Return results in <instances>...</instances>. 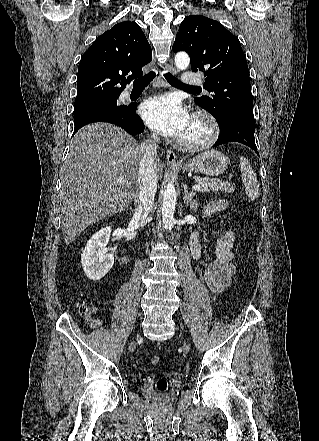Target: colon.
Here are the masks:
<instances>
[{
	"mask_svg": "<svg viewBox=\"0 0 319 441\" xmlns=\"http://www.w3.org/2000/svg\"><path fill=\"white\" fill-rule=\"evenodd\" d=\"M79 310L80 313L87 319L89 320L91 315L94 312L93 307L86 305V304H80L79 305ZM161 361V358L157 355H153L149 357V362L151 365H158ZM167 380L165 378H159L156 382V389L160 392H163L167 389Z\"/></svg>",
	"mask_w": 319,
	"mask_h": 441,
	"instance_id": "1",
	"label": "colon"
}]
</instances>
